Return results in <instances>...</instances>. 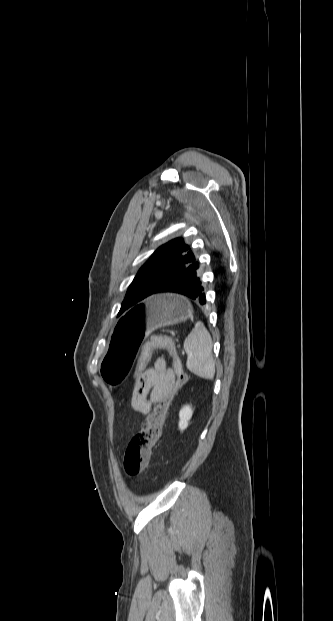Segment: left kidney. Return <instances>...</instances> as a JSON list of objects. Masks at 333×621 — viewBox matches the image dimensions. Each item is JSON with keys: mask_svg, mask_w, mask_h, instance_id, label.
Segmentation results:
<instances>
[{"mask_svg": "<svg viewBox=\"0 0 333 621\" xmlns=\"http://www.w3.org/2000/svg\"><path fill=\"white\" fill-rule=\"evenodd\" d=\"M193 415V409L190 405H185L179 412V429L181 431L188 427V422Z\"/></svg>", "mask_w": 333, "mask_h": 621, "instance_id": "left-kidney-1", "label": "left kidney"}]
</instances>
